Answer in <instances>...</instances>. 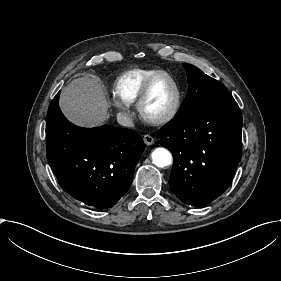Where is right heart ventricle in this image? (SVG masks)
Returning a JSON list of instances; mask_svg holds the SVG:
<instances>
[{
    "instance_id": "1",
    "label": "right heart ventricle",
    "mask_w": 281,
    "mask_h": 281,
    "mask_svg": "<svg viewBox=\"0 0 281 281\" xmlns=\"http://www.w3.org/2000/svg\"><path fill=\"white\" fill-rule=\"evenodd\" d=\"M167 73L162 69H134L127 71L114 81V94L124 104L135 103L147 81L158 74Z\"/></svg>"
}]
</instances>
